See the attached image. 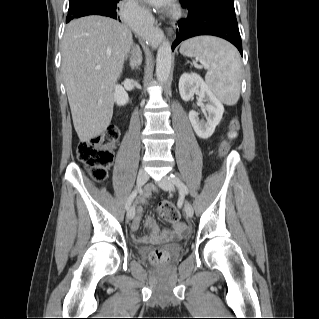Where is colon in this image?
<instances>
[{
    "mask_svg": "<svg viewBox=\"0 0 319 319\" xmlns=\"http://www.w3.org/2000/svg\"><path fill=\"white\" fill-rule=\"evenodd\" d=\"M240 129L237 118H232L229 123V130L219 147L220 154L228 151L231 142ZM119 137V129L115 126H108L104 132L91 138L88 141L80 142L77 147V156L86 165L89 175L98 182L106 179L107 169L114 159V147ZM157 211L161 218L168 221H177L179 211L176 205L171 202H162L157 205ZM170 259L169 253L165 250L156 249L150 253V261L158 266L165 265Z\"/></svg>",
    "mask_w": 319,
    "mask_h": 319,
    "instance_id": "5ec220e1",
    "label": "colon"
}]
</instances>
